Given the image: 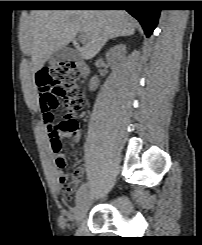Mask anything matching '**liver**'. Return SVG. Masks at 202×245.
<instances>
[{"mask_svg": "<svg viewBox=\"0 0 202 245\" xmlns=\"http://www.w3.org/2000/svg\"><path fill=\"white\" fill-rule=\"evenodd\" d=\"M135 20L122 10H36L20 33L22 50L31 55L35 71L42 68L57 49L73 43L85 60L95 57L112 38L130 36ZM86 35L80 47L75 37Z\"/></svg>", "mask_w": 202, "mask_h": 245, "instance_id": "obj_1", "label": "liver"}]
</instances>
